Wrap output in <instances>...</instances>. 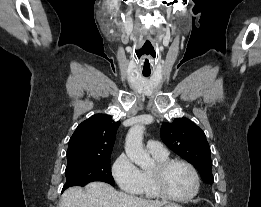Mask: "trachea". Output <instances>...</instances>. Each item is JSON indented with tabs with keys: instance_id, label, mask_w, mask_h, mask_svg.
I'll use <instances>...</instances> for the list:
<instances>
[{
	"instance_id": "3493384b",
	"label": "trachea",
	"mask_w": 261,
	"mask_h": 207,
	"mask_svg": "<svg viewBox=\"0 0 261 207\" xmlns=\"http://www.w3.org/2000/svg\"><path fill=\"white\" fill-rule=\"evenodd\" d=\"M145 77H148L150 74H143Z\"/></svg>"
}]
</instances>
